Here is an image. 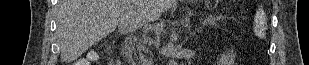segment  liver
<instances>
[{
	"label": "liver",
	"instance_id": "1",
	"mask_svg": "<svg viewBox=\"0 0 309 65\" xmlns=\"http://www.w3.org/2000/svg\"><path fill=\"white\" fill-rule=\"evenodd\" d=\"M171 4V0H58L61 60H76L117 27L134 31L157 20Z\"/></svg>",
	"mask_w": 309,
	"mask_h": 65
}]
</instances>
